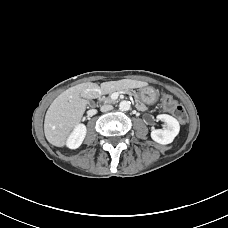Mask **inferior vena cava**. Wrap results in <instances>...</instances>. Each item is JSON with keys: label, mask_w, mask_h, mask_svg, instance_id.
Wrapping results in <instances>:
<instances>
[{"label": "inferior vena cava", "mask_w": 228, "mask_h": 228, "mask_svg": "<svg viewBox=\"0 0 228 228\" xmlns=\"http://www.w3.org/2000/svg\"><path fill=\"white\" fill-rule=\"evenodd\" d=\"M112 109H113V106H112V105H108V104L103 105V106H101V108H100L101 112H108V111H110V110H112Z\"/></svg>", "instance_id": "1"}]
</instances>
